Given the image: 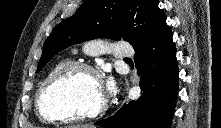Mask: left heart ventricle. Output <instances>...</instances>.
<instances>
[{
	"instance_id": "1",
	"label": "left heart ventricle",
	"mask_w": 221,
	"mask_h": 128,
	"mask_svg": "<svg viewBox=\"0 0 221 128\" xmlns=\"http://www.w3.org/2000/svg\"><path fill=\"white\" fill-rule=\"evenodd\" d=\"M103 97L104 90L99 82L91 74L77 71L47 91L44 109L55 115L79 114L97 109Z\"/></svg>"
}]
</instances>
